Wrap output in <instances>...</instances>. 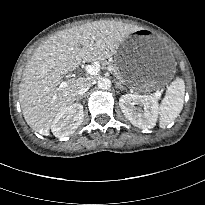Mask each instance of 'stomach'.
Instances as JSON below:
<instances>
[{"mask_svg":"<svg viewBox=\"0 0 205 205\" xmlns=\"http://www.w3.org/2000/svg\"><path fill=\"white\" fill-rule=\"evenodd\" d=\"M115 57L119 74L136 89L160 85L164 75L174 70L173 57L164 42L148 29L128 35L118 46Z\"/></svg>","mask_w":205,"mask_h":205,"instance_id":"1","label":"stomach"}]
</instances>
